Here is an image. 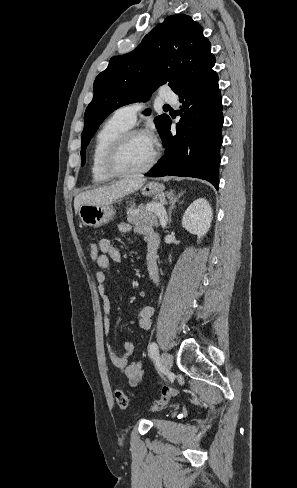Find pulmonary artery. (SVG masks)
<instances>
[{
  "label": "pulmonary artery",
  "mask_w": 297,
  "mask_h": 488,
  "mask_svg": "<svg viewBox=\"0 0 297 488\" xmlns=\"http://www.w3.org/2000/svg\"><path fill=\"white\" fill-rule=\"evenodd\" d=\"M160 97L165 102L172 103V104L177 103V96L174 93L161 91ZM143 108H144V103L133 102L119 107L115 111V115L131 127L136 122L137 114L141 110H143Z\"/></svg>",
  "instance_id": "1"
}]
</instances>
